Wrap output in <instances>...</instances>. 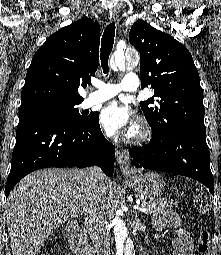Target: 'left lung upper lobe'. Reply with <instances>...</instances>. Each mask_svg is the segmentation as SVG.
<instances>
[{
    "mask_svg": "<svg viewBox=\"0 0 221 255\" xmlns=\"http://www.w3.org/2000/svg\"><path fill=\"white\" fill-rule=\"evenodd\" d=\"M129 41L140 53L142 88L154 89V96L140 103L153 133L179 126L206 131L203 90L186 47L143 20L132 25Z\"/></svg>",
    "mask_w": 221,
    "mask_h": 255,
    "instance_id": "left-lung-upper-lobe-1",
    "label": "left lung upper lobe"
}]
</instances>
